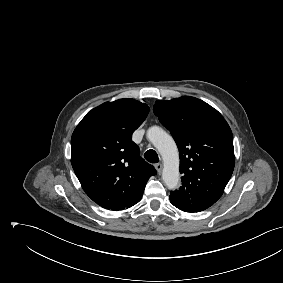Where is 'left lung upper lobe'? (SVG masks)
Wrapping results in <instances>:
<instances>
[{"mask_svg":"<svg viewBox=\"0 0 283 283\" xmlns=\"http://www.w3.org/2000/svg\"><path fill=\"white\" fill-rule=\"evenodd\" d=\"M153 111L171 132L180 153L182 185L170 197L194 212L209 208L223 194L234 169L228 123L209 104L189 96L157 101Z\"/></svg>","mask_w":283,"mask_h":283,"instance_id":"obj_1","label":"left lung upper lobe"}]
</instances>
